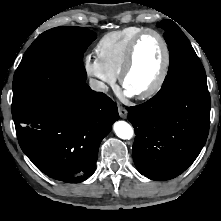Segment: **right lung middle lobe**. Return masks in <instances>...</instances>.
<instances>
[{
	"instance_id": "obj_1",
	"label": "right lung middle lobe",
	"mask_w": 221,
	"mask_h": 221,
	"mask_svg": "<svg viewBox=\"0 0 221 221\" xmlns=\"http://www.w3.org/2000/svg\"><path fill=\"white\" fill-rule=\"evenodd\" d=\"M96 37L87 28L68 26L55 27L39 35L15 71L12 114L85 81L83 54Z\"/></svg>"
}]
</instances>
